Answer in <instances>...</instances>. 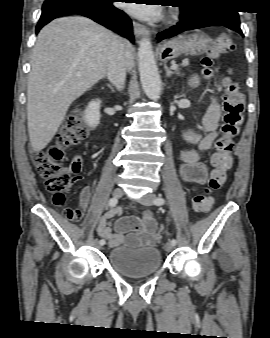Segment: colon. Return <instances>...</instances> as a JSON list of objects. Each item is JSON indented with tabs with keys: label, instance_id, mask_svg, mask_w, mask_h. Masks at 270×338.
Here are the masks:
<instances>
[{
	"label": "colon",
	"instance_id": "colon-1",
	"mask_svg": "<svg viewBox=\"0 0 270 338\" xmlns=\"http://www.w3.org/2000/svg\"><path fill=\"white\" fill-rule=\"evenodd\" d=\"M235 47L234 39L229 34L216 37L210 47V53L203 57V75L207 79H214L218 90L223 95V124L221 135L216 139L214 152L211 156L212 171L205 190L193 198L194 211L202 214L210 212L213 199L212 191L220 189L227 178V173L233 164L232 150L235 139L239 135L244 120L243 96L236 82L230 75L218 78L215 60L222 54L232 51ZM87 136L84 116L77 110L68 117L54 137L53 143L40 151L31 154L32 163L44 180L46 190L52 196V203L56 205L69 220H79L80 211L64 204V196L70 192L78 180L75 174L78 168L73 164L64 166L65 151L73 147ZM127 229L139 228L140 224L129 221L124 223Z\"/></svg>",
	"mask_w": 270,
	"mask_h": 338
}]
</instances>
